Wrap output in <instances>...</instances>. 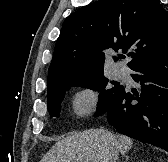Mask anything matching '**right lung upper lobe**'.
<instances>
[{
	"instance_id": "cb5924a9",
	"label": "right lung upper lobe",
	"mask_w": 168,
	"mask_h": 162,
	"mask_svg": "<svg viewBox=\"0 0 168 162\" xmlns=\"http://www.w3.org/2000/svg\"><path fill=\"white\" fill-rule=\"evenodd\" d=\"M110 49L131 50L130 69L167 52L168 12L160 0H100L70 14L55 45L48 86L103 71Z\"/></svg>"
}]
</instances>
